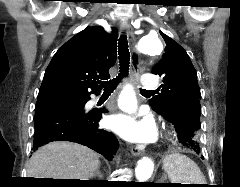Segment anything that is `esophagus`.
<instances>
[{"label": "esophagus", "mask_w": 240, "mask_h": 187, "mask_svg": "<svg viewBox=\"0 0 240 187\" xmlns=\"http://www.w3.org/2000/svg\"><path fill=\"white\" fill-rule=\"evenodd\" d=\"M123 28L126 30L127 38L130 43L131 49H132V58H131V77L136 82L139 79L140 76V57L139 54L135 48V37L133 33V29L130 26L128 22H122ZM145 152L144 146H133L131 148V153L135 156H141Z\"/></svg>", "instance_id": "1"}]
</instances>
